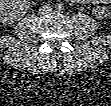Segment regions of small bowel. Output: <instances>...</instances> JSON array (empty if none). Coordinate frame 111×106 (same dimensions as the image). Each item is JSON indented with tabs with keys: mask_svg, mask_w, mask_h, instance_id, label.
Returning <instances> with one entry per match:
<instances>
[{
	"mask_svg": "<svg viewBox=\"0 0 111 106\" xmlns=\"http://www.w3.org/2000/svg\"><path fill=\"white\" fill-rule=\"evenodd\" d=\"M83 2H98V1H83Z\"/></svg>",
	"mask_w": 111,
	"mask_h": 106,
	"instance_id": "small-bowel-1",
	"label": "small bowel"
}]
</instances>
